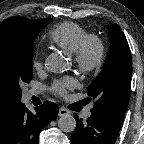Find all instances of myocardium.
<instances>
[{
  "label": "myocardium",
  "mask_w": 144,
  "mask_h": 144,
  "mask_svg": "<svg viewBox=\"0 0 144 144\" xmlns=\"http://www.w3.org/2000/svg\"><path fill=\"white\" fill-rule=\"evenodd\" d=\"M106 47L103 39L96 34L86 35L73 52L77 68L83 73H93L103 64Z\"/></svg>",
  "instance_id": "myocardium-1"
}]
</instances>
